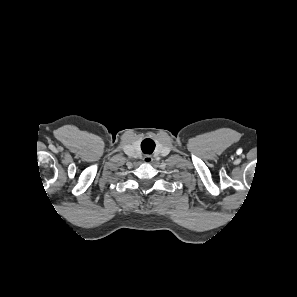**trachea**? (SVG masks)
I'll return each instance as SVG.
<instances>
[{
  "label": "trachea",
  "instance_id": "3493384b",
  "mask_svg": "<svg viewBox=\"0 0 297 297\" xmlns=\"http://www.w3.org/2000/svg\"><path fill=\"white\" fill-rule=\"evenodd\" d=\"M141 149L145 154H151L155 149V143L152 139H145L141 143Z\"/></svg>",
  "mask_w": 297,
  "mask_h": 297
}]
</instances>
